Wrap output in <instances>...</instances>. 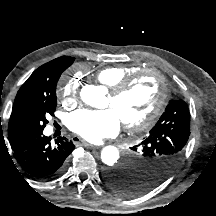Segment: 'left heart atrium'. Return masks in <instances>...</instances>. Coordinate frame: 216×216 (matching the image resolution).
<instances>
[{"label":"left heart atrium","instance_id":"left-heart-atrium-1","mask_svg":"<svg viewBox=\"0 0 216 216\" xmlns=\"http://www.w3.org/2000/svg\"><path fill=\"white\" fill-rule=\"evenodd\" d=\"M121 119L114 109H80L71 113L67 120L68 128L88 141H99L115 136L120 130Z\"/></svg>","mask_w":216,"mask_h":216}]
</instances>
